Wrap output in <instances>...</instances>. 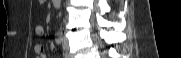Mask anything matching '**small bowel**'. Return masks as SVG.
<instances>
[{"label":"small bowel","instance_id":"1","mask_svg":"<svg viewBox=\"0 0 181 58\" xmlns=\"http://www.w3.org/2000/svg\"><path fill=\"white\" fill-rule=\"evenodd\" d=\"M35 33L39 36L44 34V28L41 25H37L35 27ZM51 47L53 48V45L51 44ZM35 54L37 55V58H45L44 56V47L41 44H36L33 48Z\"/></svg>","mask_w":181,"mask_h":58}]
</instances>
